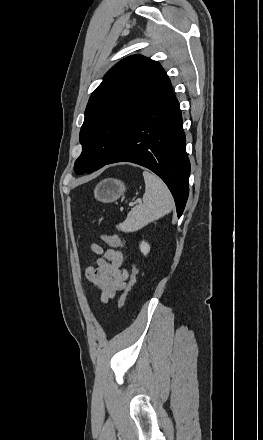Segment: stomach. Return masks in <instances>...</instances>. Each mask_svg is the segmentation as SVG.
<instances>
[{"instance_id":"stomach-1","label":"stomach","mask_w":263,"mask_h":440,"mask_svg":"<svg viewBox=\"0 0 263 440\" xmlns=\"http://www.w3.org/2000/svg\"><path fill=\"white\" fill-rule=\"evenodd\" d=\"M126 190L125 184L114 178L104 179L94 189V196L98 201L108 203L117 200Z\"/></svg>"}]
</instances>
